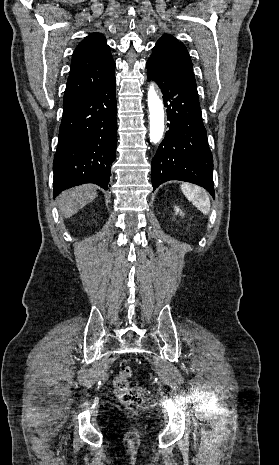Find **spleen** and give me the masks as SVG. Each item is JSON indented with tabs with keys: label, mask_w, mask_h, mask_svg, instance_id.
<instances>
[{
	"label": "spleen",
	"mask_w": 279,
	"mask_h": 465,
	"mask_svg": "<svg viewBox=\"0 0 279 465\" xmlns=\"http://www.w3.org/2000/svg\"><path fill=\"white\" fill-rule=\"evenodd\" d=\"M181 190L185 197L192 202V204L200 210L203 214L207 215L210 212V200L208 195L200 187H192L188 183L181 185Z\"/></svg>",
	"instance_id": "obj_1"
}]
</instances>
